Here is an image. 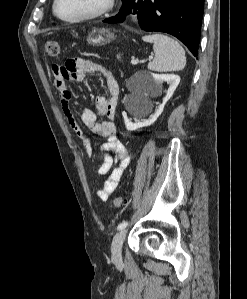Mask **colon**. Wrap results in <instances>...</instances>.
I'll list each match as a JSON object with an SVG mask.
<instances>
[{
  "instance_id": "obj_1",
  "label": "colon",
  "mask_w": 247,
  "mask_h": 299,
  "mask_svg": "<svg viewBox=\"0 0 247 299\" xmlns=\"http://www.w3.org/2000/svg\"><path fill=\"white\" fill-rule=\"evenodd\" d=\"M60 52V47L57 41L55 40H47L44 44V53L46 56L51 58L58 57ZM113 206L116 208L123 207L129 203L128 198L117 196L113 199Z\"/></svg>"
}]
</instances>
